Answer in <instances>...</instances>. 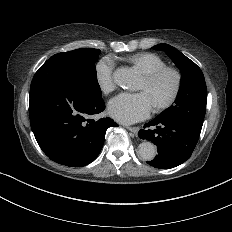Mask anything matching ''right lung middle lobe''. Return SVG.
I'll return each mask as SVG.
<instances>
[{
  "label": "right lung middle lobe",
  "mask_w": 232,
  "mask_h": 232,
  "mask_svg": "<svg viewBox=\"0 0 232 232\" xmlns=\"http://www.w3.org/2000/svg\"><path fill=\"white\" fill-rule=\"evenodd\" d=\"M100 50L93 48H80L69 52L53 55L48 61H57L76 67L87 81L94 96H101V89L97 81L95 62Z\"/></svg>",
  "instance_id": "1"
}]
</instances>
